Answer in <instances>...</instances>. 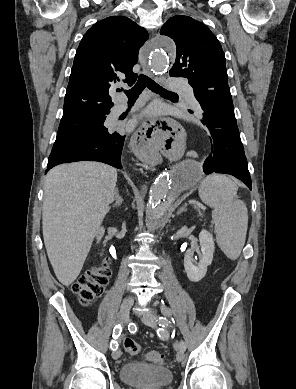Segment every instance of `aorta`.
I'll return each mask as SVG.
<instances>
[{
	"label": "aorta",
	"mask_w": 296,
	"mask_h": 389,
	"mask_svg": "<svg viewBox=\"0 0 296 389\" xmlns=\"http://www.w3.org/2000/svg\"><path fill=\"white\" fill-rule=\"evenodd\" d=\"M175 45L168 38H157L152 43L150 65L155 73H163L175 65L173 52ZM201 173V167L194 161L185 163L177 177L169 173L160 174L153 183L149 200L146 206V225L156 229L162 225L166 215L177 197L185 190L190 189Z\"/></svg>",
	"instance_id": "762f6f07"
}]
</instances>
